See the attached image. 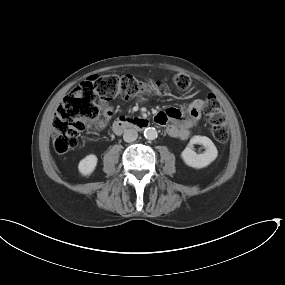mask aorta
<instances>
[{"mask_svg":"<svg viewBox=\"0 0 285 285\" xmlns=\"http://www.w3.org/2000/svg\"><path fill=\"white\" fill-rule=\"evenodd\" d=\"M157 130L154 127H148L144 130V136L148 140H154L157 138Z\"/></svg>","mask_w":285,"mask_h":285,"instance_id":"aorta-1","label":"aorta"}]
</instances>
